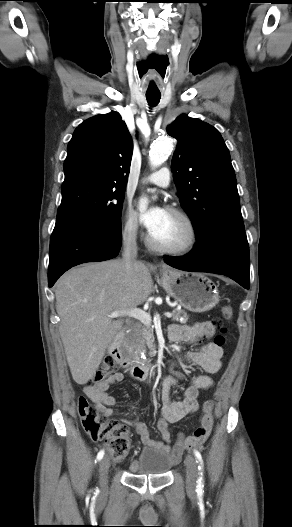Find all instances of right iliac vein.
I'll list each match as a JSON object with an SVG mask.
<instances>
[{
	"label": "right iliac vein",
	"instance_id": "1",
	"mask_svg": "<svg viewBox=\"0 0 292 527\" xmlns=\"http://www.w3.org/2000/svg\"><path fill=\"white\" fill-rule=\"evenodd\" d=\"M110 466V460L108 457H104L99 465L100 472V486L103 491L107 489V474Z\"/></svg>",
	"mask_w": 292,
	"mask_h": 527
}]
</instances>
